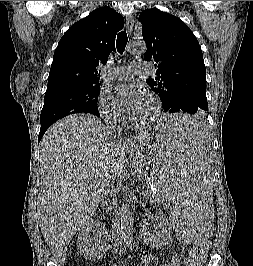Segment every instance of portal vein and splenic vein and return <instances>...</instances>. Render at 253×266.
I'll list each match as a JSON object with an SVG mask.
<instances>
[{"instance_id": "portal-vein-and-splenic-vein-1", "label": "portal vein and splenic vein", "mask_w": 253, "mask_h": 266, "mask_svg": "<svg viewBox=\"0 0 253 266\" xmlns=\"http://www.w3.org/2000/svg\"><path fill=\"white\" fill-rule=\"evenodd\" d=\"M144 191H145V193H149L151 195V192L149 190H146V188Z\"/></svg>"}]
</instances>
